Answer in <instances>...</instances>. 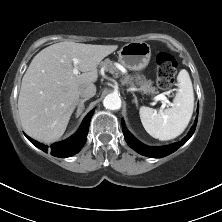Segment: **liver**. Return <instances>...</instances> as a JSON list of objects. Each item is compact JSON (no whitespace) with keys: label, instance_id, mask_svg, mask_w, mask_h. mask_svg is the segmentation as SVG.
Segmentation results:
<instances>
[{"label":"liver","instance_id":"liver-1","mask_svg":"<svg viewBox=\"0 0 222 222\" xmlns=\"http://www.w3.org/2000/svg\"><path fill=\"white\" fill-rule=\"evenodd\" d=\"M117 48L64 41L41 50L23 76L18 98L26 134L41 142L58 140L79 101V89L97 81V66ZM74 58L79 75L73 74Z\"/></svg>","mask_w":222,"mask_h":222}]
</instances>
